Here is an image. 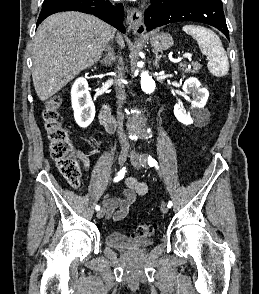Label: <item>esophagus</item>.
I'll return each instance as SVG.
<instances>
[{
  "instance_id": "obj_1",
  "label": "esophagus",
  "mask_w": 259,
  "mask_h": 294,
  "mask_svg": "<svg viewBox=\"0 0 259 294\" xmlns=\"http://www.w3.org/2000/svg\"><path fill=\"white\" fill-rule=\"evenodd\" d=\"M127 22L134 34L143 36L145 33V25L143 23V16L141 11L137 8H130L127 10Z\"/></svg>"
}]
</instances>
